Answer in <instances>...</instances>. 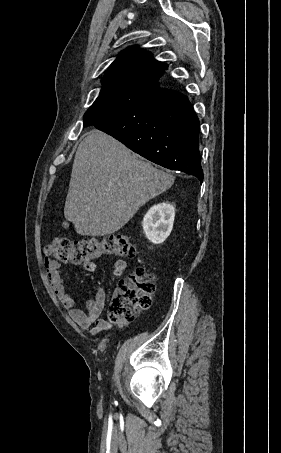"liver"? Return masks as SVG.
I'll return each mask as SVG.
<instances>
[{
    "label": "liver",
    "instance_id": "obj_1",
    "mask_svg": "<svg viewBox=\"0 0 281 453\" xmlns=\"http://www.w3.org/2000/svg\"><path fill=\"white\" fill-rule=\"evenodd\" d=\"M131 152L101 130L86 132L74 156L64 208L78 235H113L140 206L172 186L175 176Z\"/></svg>",
    "mask_w": 281,
    "mask_h": 453
}]
</instances>
